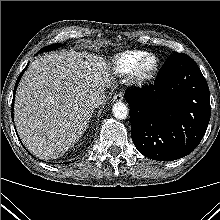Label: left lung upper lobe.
<instances>
[{
  "label": "left lung upper lobe",
  "mask_w": 220,
  "mask_h": 220,
  "mask_svg": "<svg viewBox=\"0 0 220 220\" xmlns=\"http://www.w3.org/2000/svg\"><path fill=\"white\" fill-rule=\"evenodd\" d=\"M183 53H178V52H175L173 53L172 55H182Z\"/></svg>",
  "instance_id": "left-lung-upper-lobe-1"
}]
</instances>
